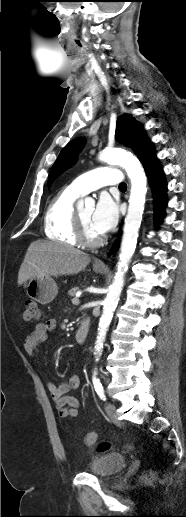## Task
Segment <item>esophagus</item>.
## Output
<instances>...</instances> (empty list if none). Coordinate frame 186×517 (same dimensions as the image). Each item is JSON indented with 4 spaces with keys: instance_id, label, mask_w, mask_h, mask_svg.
Returning <instances> with one entry per match:
<instances>
[{
    "instance_id": "obj_1",
    "label": "esophagus",
    "mask_w": 186,
    "mask_h": 517,
    "mask_svg": "<svg viewBox=\"0 0 186 517\" xmlns=\"http://www.w3.org/2000/svg\"><path fill=\"white\" fill-rule=\"evenodd\" d=\"M95 265L104 266V263L101 260H96Z\"/></svg>"
}]
</instances>
